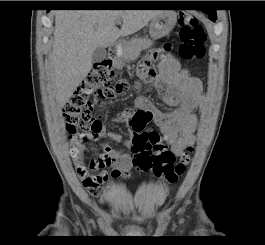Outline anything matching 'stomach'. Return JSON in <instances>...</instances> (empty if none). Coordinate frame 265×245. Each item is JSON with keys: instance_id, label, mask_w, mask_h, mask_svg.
<instances>
[{"instance_id": "0dacf381", "label": "stomach", "mask_w": 265, "mask_h": 245, "mask_svg": "<svg viewBox=\"0 0 265 245\" xmlns=\"http://www.w3.org/2000/svg\"><path fill=\"white\" fill-rule=\"evenodd\" d=\"M176 22V13L165 11L151 20L149 24V34L153 39L166 36L173 30Z\"/></svg>"}]
</instances>
